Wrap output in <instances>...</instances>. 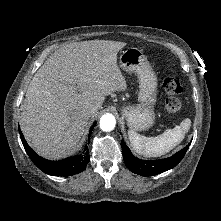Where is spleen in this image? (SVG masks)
<instances>
[{
  "label": "spleen",
  "mask_w": 221,
  "mask_h": 221,
  "mask_svg": "<svg viewBox=\"0 0 221 221\" xmlns=\"http://www.w3.org/2000/svg\"><path fill=\"white\" fill-rule=\"evenodd\" d=\"M191 126L189 118L184 119L180 125L165 130L161 135L145 137L133 130L128 131L129 140L136 153L145 157H157L176 147L184 138Z\"/></svg>",
  "instance_id": "3e777b00"
}]
</instances>
